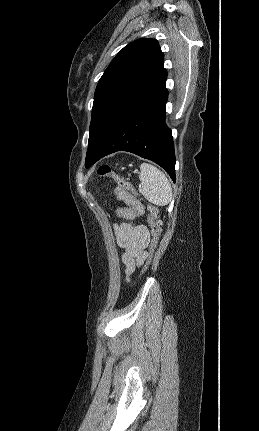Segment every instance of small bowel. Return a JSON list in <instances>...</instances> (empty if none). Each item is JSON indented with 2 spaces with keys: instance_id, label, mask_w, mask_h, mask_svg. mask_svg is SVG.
Here are the masks:
<instances>
[{
  "instance_id": "1",
  "label": "small bowel",
  "mask_w": 259,
  "mask_h": 431,
  "mask_svg": "<svg viewBox=\"0 0 259 431\" xmlns=\"http://www.w3.org/2000/svg\"><path fill=\"white\" fill-rule=\"evenodd\" d=\"M130 220L126 219L125 222L115 226L117 243L125 250L122 262L127 280L146 260V248L150 240L148 229L143 225H134Z\"/></svg>"
}]
</instances>
